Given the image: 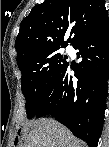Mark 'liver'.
I'll return each mask as SVG.
<instances>
[{
	"instance_id": "obj_1",
	"label": "liver",
	"mask_w": 109,
	"mask_h": 147,
	"mask_svg": "<svg viewBox=\"0 0 109 147\" xmlns=\"http://www.w3.org/2000/svg\"><path fill=\"white\" fill-rule=\"evenodd\" d=\"M30 132L23 147H84L85 143L62 124L53 119L42 118L29 123Z\"/></svg>"
}]
</instances>
